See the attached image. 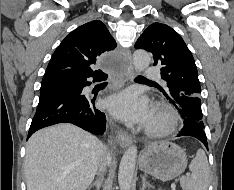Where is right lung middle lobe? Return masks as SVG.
<instances>
[{"instance_id": "dd1d6c3e", "label": "right lung middle lobe", "mask_w": 234, "mask_h": 190, "mask_svg": "<svg viewBox=\"0 0 234 190\" xmlns=\"http://www.w3.org/2000/svg\"><path fill=\"white\" fill-rule=\"evenodd\" d=\"M54 79L42 80L41 89H44L46 86L50 85Z\"/></svg>"}]
</instances>
